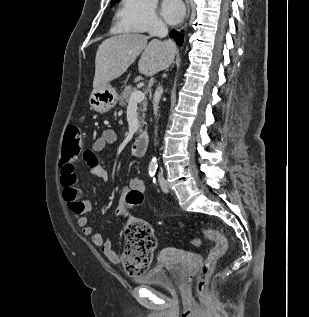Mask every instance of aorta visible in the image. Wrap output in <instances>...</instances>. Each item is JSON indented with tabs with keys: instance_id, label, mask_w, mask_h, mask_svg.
Instances as JSON below:
<instances>
[{
	"instance_id": "obj_1",
	"label": "aorta",
	"mask_w": 309,
	"mask_h": 317,
	"mask_svg": "<svg viewBox=\"0 0 309 317\" xmlns=\"http://www.w3.org/2000/svg\"><path fill=\"white\" fill-rule=\"evenodd\" d=\"M157 163V160H156V158L154 157V158H152V160H151V164H156Z\"/></svg>"
}]
</instances>
